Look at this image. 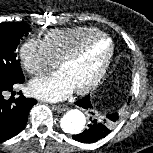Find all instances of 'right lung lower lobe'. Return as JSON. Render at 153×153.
<instances>
[{
  "mask_svg": "<svg viewBox=\"0 0 153 153\" xmlns=\"http://www.w3.org/2000/svg\"><path fill=\"white\" fill-rule=\"evenodd\" d=\"M23 82L24 77L17 80L0 77V142L14 137L24 129L29 110L37 103V100L23 95L17 99H5L6 92L14 93L13 88Z\"/></svg>",
  "mask_w": 153,
  "mask_h": 153,
  "instance_id": "obj_1",
  "label": "right lung lower lobe"
}]
</instances>
